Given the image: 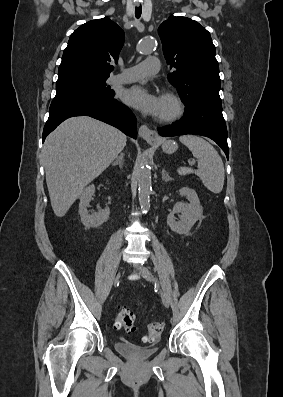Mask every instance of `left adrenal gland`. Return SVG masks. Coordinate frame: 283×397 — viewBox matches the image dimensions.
Segmentation results:
<instances>
[{"label": "left adrenal gland", "mask_w": 283, "mask_h": 397, "mask_svg": "<svg viewBox=\"0 0 283 397\" xmlns=\"http://www.w3.org/2000/svg\"><path fill=\"white\" fill-rule=\"evenodd\" d=\"M162 180L165 182L172 181V178L169 176L165 169H162Z\"/></svg>", "instance_id": "left-adrenal-gland-1"}]
</instances>
